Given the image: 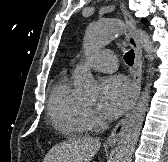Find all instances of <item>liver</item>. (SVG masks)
Here are the masks:
<instances>
[{"mask_svg":"<svg viewBox=\"0 0 168 162\" xmlns=\"http://www.w3.org/2000/svg\"><path fill=\"white\" fill-rule=\"evenodd\" d=\"M101 146L98 138L78 137L53 146L43 162H90Z\"/></svg>","mask_w":168,"mask_h":162,"instance_id":"obj_1","label":"liver"}]
</instances>
